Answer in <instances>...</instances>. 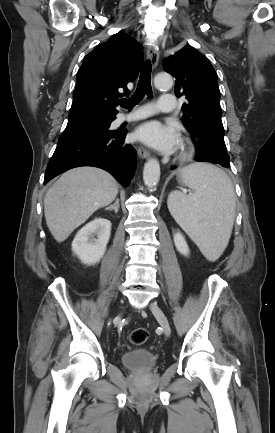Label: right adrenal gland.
<instances>
[{
	"instance_id": "right-adrenal-gland-1",
	"label": "right adrenal gland",
	"mask_w": 275,
	"mask_h": 433,
	"mask_svg": "<svg viewBox=\"0 0 275 433\" xmlns=\"http://www.w3.org/2000/svg\"><path fill=\"white\" fill-rule=\"evenodd\" d=\"M119 207H120L119 199L117 198L115 203L113 205H110L109 207L105 208V210H110V211L114 210L115 213H117L119 210Z\"/></svg>"
}]
</instances>
